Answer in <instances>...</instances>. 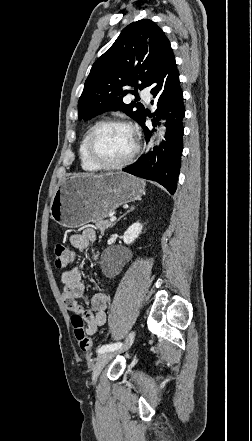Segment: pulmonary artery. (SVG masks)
<instances>
[{"label": "pulmonary artery", "instance_id": "pulmonary-artery-1", "mask_svg": "<svg viewBox=\"0 0 252 441\" xmlns=\"http://www.w3.org/2000/svg\"><path fill=\"white\" fill-rule=\"evenodd\" d=\"M140 93H141V96L143 97V99L146 102L150 101L151 94H150V91L148 89H143V90H141Z\"/></svg>", "mask_w": 252, "mask_h": 441}]
</instances>
